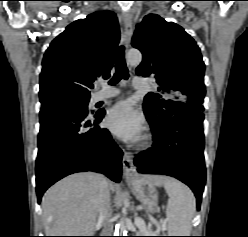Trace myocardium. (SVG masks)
<instances>
[{
	"mask_svg": "<svg viewBox=\"0 0 248 237\" xmlns=\"http://www.w3.org/2000/svg\"><path fill=\"white\" fill-rule=\"evenodd\" d=\"M151 144H152V138L150 136L146 137L144 142H143V146L149 147V146H151Z\"/></svg>",
	"mask_w": 248,
	"mask_h": 237,
	"instance_id": "myocardium-1",
	"label": "myocardium"
}]
</instances>
